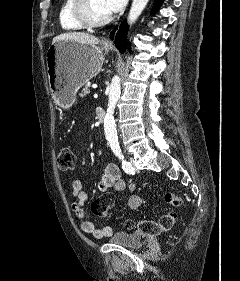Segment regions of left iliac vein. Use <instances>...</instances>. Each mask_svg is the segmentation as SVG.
<instances>
[{"instance_id":"left-iliac-vein-1","label":"left iliac vein","mask_w":240,"mask_h":281,"mask_svg":"<svg viewBox=\"0 0 240 281\" xmlns=\"http://www.w3.org/2000/svg\"><path fill=\"white\" fill-rule=\"evenodd\" d=\"M130 162H131V165L133 166V164H134L133 158H130ZM134 169H135V168H134Z\"/></svg>"}]
</instances>
